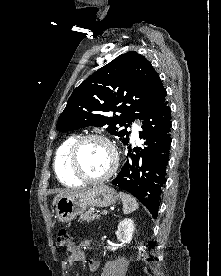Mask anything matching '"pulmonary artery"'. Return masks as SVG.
I'll list each match as a JSON object with an SVG mask.
<instances>
[{"label": "pulmonary artery", "mask_w": 221, "mask_h": 276, "mask_svg": "<svg viewBox=\"0 0 221 276\" xmlns=\"http://www.w3.org/2000/svg\"><path fill=\"white\" fill-rule=\"evenodd\" d=\"M132 137L134 139H138V126L137 125H134L133 126V129H132Z\"/></svg>", "instance_id": "1"}]
</instances>
